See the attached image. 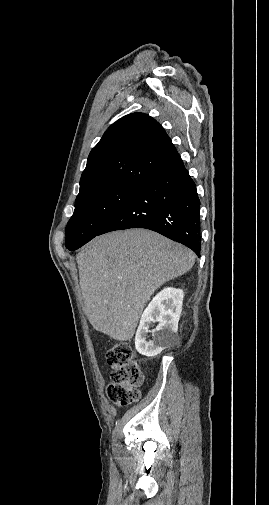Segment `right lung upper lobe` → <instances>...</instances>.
Wrapping results in <instances>:
<instances>
[{"label": "right lung upper lobe", "mask_w": 269, "mask_h": 505, "mask_svg": "<svg viewBox=\"0 0 269 505\" xmlns=\"http://www.w3.org/2000/svg\"><path fill=\"white\" fill-rule=\"evenodd\" d=\"M180 158L163 127L144 113L113 123L91 150L80 192L93 186L123 183L141 186Z\"/></svg>", "instance_id": "cb5924a9"}]
</instances>
